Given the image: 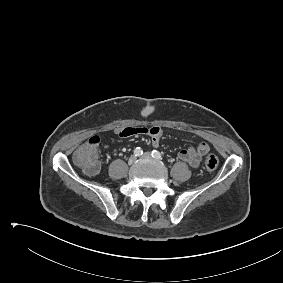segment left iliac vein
I'll use <instances>...</instances> for the list:
<instances>
[{"label": "left iliac vein", "instance_id": "obj_1", "mask_svg": "<svg viewBox=\"0 0 283 283\" xmlns=\"http://www.w3.org/2000/svg\"><path fill=\"white\" fill-rule=\"evenodd\" d=\"M142 158H151V154L149 152H145L143 155H142Z\"/></svg>", "mask_w": 283, "mask_h": 283}]
</instances>
